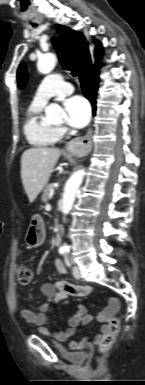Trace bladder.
<instances>
[{
	"mask_svg": "<svg viewBox=\"0 0 145 385\" xmlns=\"http://www.w3.org/2000/svg\"><path fill=\"white\" fill-rule=\"evenodd\" d=\"M70 357L75 358V360H77V361H83L85 359V354L82 352H78L74 355H70Z\"/></svg>",
	"mask_w": 145,
	"mask_h": 385,
	"instance_id": "1",
	"label": "bladder"
}]
</instances>
